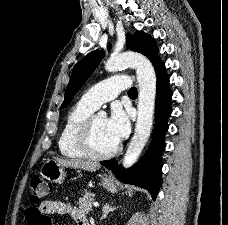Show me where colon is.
Returning <instances> with one entry per match:
<instances>
[{"label": "colon", "instance_id": "colon-1", "mask_svg": "<svg viewBox=\"0 0 228 225\" xmlns=\"http://www.w3.org/2000/svg\"><path fill=\"white\" fill-rule=\"evenodd\" d=\"M49 192L48 182H45L44 179L40 176H34L30 182V193L31 201L33 203H39L46 197Z\"/></svg>", "mask_w": 228, "mask_h": 225}]
</instances>
